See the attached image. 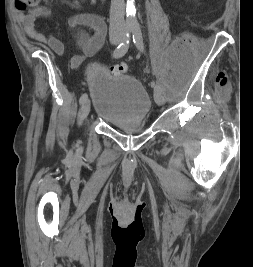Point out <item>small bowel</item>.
I'll use <instances>...</instances> for the list:
<instances>
[{
  "mask_svg": "<svg viewBox=\"0 0 253 267\" xmlns=\"http://www.w3.org/2000/svg\"><path fill=\"white\" fill-rule=\"evenodd\" d=\"M63 3L73 8H80L87 3H96L98 0H62ZM51 14L47 7H38L22 17V25L27 36L39 43L47 45L54 53L62 55L64 45L60 39L51 34H44L36 27V20L49 17ZM68 25L73 32V37L79 54L71 59L73 67H78L84 59L93 55L104 43L107 27L103 19L92 13L81 12L73 15L68 20ZM92 31V33L89 32Z\"/></svg>",
  "mask_w": 253,
  "mask_h": 267,
  "instance_id": "1",
  "label": "small bowel"
}]
</instances>
